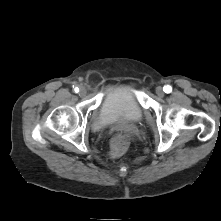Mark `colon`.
<instances>
[{
    "mask_svg": "<svg viewBox=\"0 0 221 221\" xmlns=\"http://www.w3.org/2000/svg\"><path fill=\"white\" fill-rule=\"evenodd\" d=\"M128 146V141L125 135L123 134H117L113 139L111 143V155L113 157L120 156L125 152Z\"/></svg>",
    "mask_w": 221,
    "mask_h": 221,
    "instance_id": "colon-1",
    "label": "colon"
}]
</instances>
